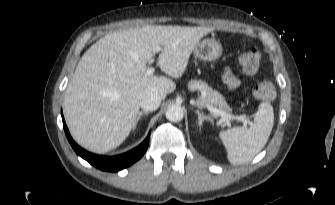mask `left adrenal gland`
<instances>
[{
	"label": "left adrenal gland",
	"instance_id": "left-adrenal-gland-1",
	"mask_svg": "<svg viewBox=\"0 0 335 205\" xmlns=\"http://www.w3.org/2000/svg\"><path fill=\"white\" fill-rule=\"evenodd\" d=\"M195 113L198 115L199 126H202L203 121L210 120L212 121L210 116H206L205 114L201 113L199 110H196Z\"/></svg>",
	"mask_w": 335,
	"mask_h": 205
}]
</instances>
